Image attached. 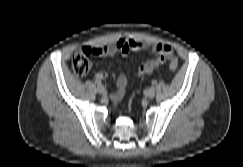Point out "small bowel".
<instances>
[{
	"mask_svg": "<svg viewBox=\"0 0 243 167\" xmlns=\"http://www.w3.org/2000/svg\"><path fill=\"white\" fill-rule=\"evenodd\" d=\"M130 50L147 51L154 55L151 59L139 66L137 70V76L152 74L158 66L162 65L173 56V49L168 44H149L130 38H121L109 46L92 48L94 56H114L120 54L125 57ZM107 77L108 75L105 72H97L95 74V79L98 81H104L107 79ZM126 86L127 78L125 74L121 73L117 78L118 90L112 94V100L115 103L121 100L124 96Z\"/></svg>",
	"mask_w": 243,
	"mask_h": 167,
	"instance_id": "small-bowel-1",
	"label": "small bowel"
}]
</instances>
